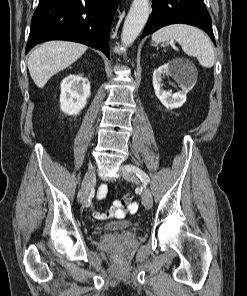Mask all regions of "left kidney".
<instances>
[{"instance_id":"1","label":"left kidney","mask_w":247,"mask_h":296,"mask_svg":"<svg viewBox=\"0 0 247 296\" xmlns=\"http://www.w3.org/2000/svg\"><path fill=\"white\" fill-rule=\"evenodd\" d=\"M171 76L181 85L182 90L171 93L163 90L162 76ZM196 84L195 70L184 60H173L153 72V87L160 102L170 109L181 107L186 102L187 93Z\"/></svg>"}]
</instances>
